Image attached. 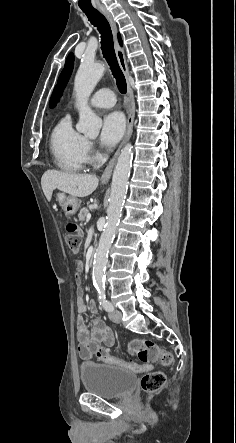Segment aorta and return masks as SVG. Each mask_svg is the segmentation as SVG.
Returning <instances> with one entry per match:
<instances>
[{
    "label": "aorta",
    "mask_w": 236,
    "mask_h": 443,
    "mask_svg": "<svg viewBox=\"0 0 236 443\" xmlns=\"http://www.w3.org/2000/svg\"><path fill=\"white\" fill-rule=\"evenodd\" d=\"M104 71L105 67L103 64L84 60L75 76L74 91L76 94V107L79 111L77 131L89 137H97L102 126L101 119L88 106V99L103 76ZM132 156V146L127 144L121 150L113 172L107 222L101 234L93 263L92 277L93 283L97 287L104 285L108 252L125 202Z\"/></svg>",
    "instance_id": "obj_1"
}]
</instances>
